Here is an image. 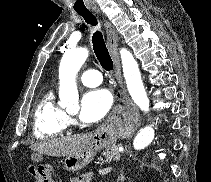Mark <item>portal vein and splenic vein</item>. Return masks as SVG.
<instances>
[{"instance_id": "1", "label": "portal vein and splenic vein", "mask_w": 211, "mask_h": 182, "mask_svg": "<svg viewBox=\"0 0 211 182\" xmlns=\"http://www.w3.org/2000/svg\"><path fill=\"white\" fill-rule=\"evenodd\" d=\"M120 150V149H119ZM121 151V150H120ZM112 170V168H104V169H102V170H99V173H101V174H107V173H109L110 171Z\"/></svg>"}]
</instances>
